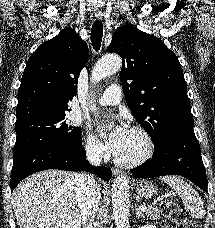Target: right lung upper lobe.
Wrapping results in <instances>:
<instances>
[{
  "label": "right lung upper lobe",
  "instance_id": "obj_1",
  "mask_svg": "<svg viewBox=\"0 0 215 228\" xmlns=\"http://www.w3.org/2000/svg\"><path fill=\"white\" fill-rule=\"evenodd\" d=\"M88 59L87 44L66 28L42 43L29 58L18 90L17 122L67 114L77 94V82Z\"/></svg>",
  "mask_w": 215,
  "mask_h": 228
}]
</instances>
